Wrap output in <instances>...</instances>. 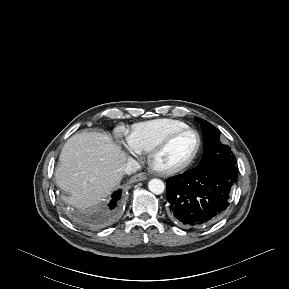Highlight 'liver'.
Masks as SVG:
<instances>
[{
    "mask_svg": "<svg viewBox=\"0 0 289 289\" xmlns=\"http://www.w3.org/2000/svg\"><path fill=\"white\" fill-rule=\"evenodd\" d=\"M59 161L56 183L70 194L64 200L86 208L111 194L122 179L127 157L109 135L84 131L66 141Z\"/></svg>",
    "mask_w": 289,
    "mask_h": 289,
    "instance_id": "6515ba94",
    "label": "liver"
}]
</instances>
